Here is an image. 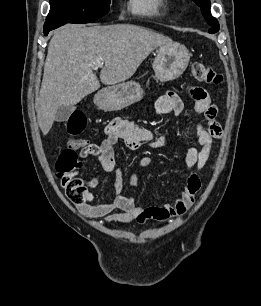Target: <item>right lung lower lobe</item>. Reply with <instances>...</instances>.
<instances>
[{
	"mask_svg": "<svg viewBox=\"0 0 261 306\" xmlns=\"http://www.w3.org/2000/svg\"><path fill=\"white\" fill-rule=\"evenodd\" d=\"M66 23H49V22H46L44 24V34L47 36L49 31L53 30V29H56L62 25H64Z\"/></svg>",
	"mask_w": 261,
	"mask_h": 306,
	"instance_id": "98d812e1",
	"label": "right lung lower lobe"
}]
</instances>
